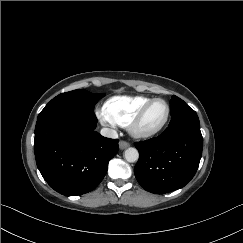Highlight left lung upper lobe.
Instances as JSON below:
<instances>
[{
  "mask_svg": "<svg viewBox=\"0 0 243 243\" xmlns=\"http://www.w3.org/2000/svg\"><path fill=\"white\" fill-rule=\"evenodd\" d=\"M171 121L185 116H196V112L190 108L182 99L172 96L170 100Z\"/></svg>",
  "mask_w": 243,
  "mask_h": 243,
  "instance_id": "5c2ea615",
  "label": "left lung upper lobe"
}]
</instances>
